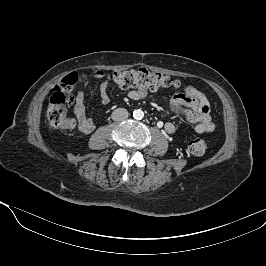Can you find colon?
<instances>
[{
	"label": "colon",
	"mask_w": 266,
	"mask_h": 266,
	"mask_svg": "<svg viewBox=\"0 0 266 266\" xmlns=\"http://www.w3.org/2000/svg\"><path fill=\"white\" fill-rule=\"evenodd\" d=\"M84 76L71 73L65 76L61 83L54 88L47 108L48 122L62 130H72L76 123L67 114V109L73 102L72 89ZM109 79L123 89L142 87L151 90H164L184 87L178 80L147 68L113 71ZM188 150L193 155H203L208 150V142L201 138L193 139L188 144Z\"/></svg>",
	"instance_id": "colon-1"
}]
</instances>
